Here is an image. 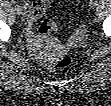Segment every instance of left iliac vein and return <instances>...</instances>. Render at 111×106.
<instances>
[{
  "label": "left iliac vein",
  "instance_id": "left-iliac-vein-1",
  "mask_svg": "<svg viewBox=\"0 0 111 106\" xmlns=\"http://www.w3.org/2000/svg\"><path fill=\"white\" fill-rule=\"evenodd\" d=\"M89 6L91 8H94L96 6V1L91 0L90 3H89Z\"/></svg>",
  "mask_w": 111,
  "mask_h": 106
}]
</instances>
